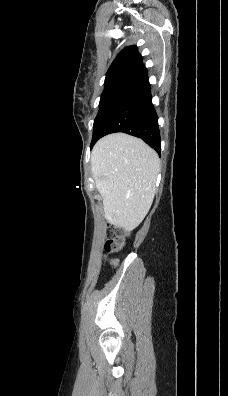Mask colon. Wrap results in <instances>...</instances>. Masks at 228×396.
<instances>
[{
	"mask_svg": "<svg viewBox=\"0 0 228 396\" xmlns=\"http://www.w3.org/2000/svg\"><path fill=\"white\" fill-rule=\"evenodd\" d=\"M115 236L109 239L105 244L106 255L119 252L123 248L124 237L127 235L126 229L121 225L113 224ZM108 263L112 266H116L118 261L116 259H109Z\"/></svg>",
	"mask_w": 228,
	"mask_h": 396,
	"instance_id": "1",
	"label": "colon"
}]
</instances>
